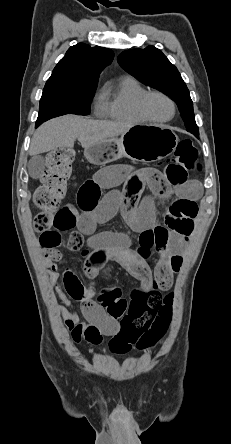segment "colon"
<instances>
[{
    "label": "colon",
    "instance_id": "1",
    "mask_svg": "<svg viewBox=\"0 0 231 444\" xmlns=\"http://www.w3.org/2000/svg\"><path fill=\"white\" fill-rule=\"evenodd\" d=\"M72 157L73 153L70 150L50 153L41 184L34 194V202L42 210L34 219V227L42 233L43 246L48 242L46 234L60 233L75 226L74 214L67 207L60 208L70 177ZM200 169L196 148L189 140H184L179 143L174 158L165 166L164 175L170 184L181 188L188 184V174ZM196 214V203L178 200L170 209L167 228L182 236H188L193 230ZM165 231L164 227L155 229L159 236ZM62 281L71 297L79 299L84 295V286L70 268L64 270ZM171 305L172 295L163 297L157 287L148 294L137 295L120 320V330L109 341L110 351L123 355L133 346L140 350L154 346L168 329Z\"/></svg>",
    "mask_w": 231,
    "mask_h": 444
}]
</instances>
